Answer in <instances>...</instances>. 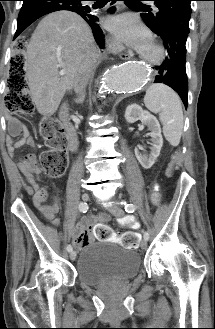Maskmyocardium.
I'll use <instances>...</instances> for the list:
<instances>
[{"mask_svg":"<svg viewBox=\"0 0 215 329\" xmlns=\"http://www.w3.org/2000/svg\"><path fill=\"white\" fill-rule=\"evenodd\" d=\"M150 49L152 51L151 53L144 52L140 55V58L150 65L161 64L166 57L165 48L158 43H153Z\"/></svg>","mask_w":215,"mask_h":329,"instance_id":"myocardium-1","label":"myocardium"}]
</instances>
